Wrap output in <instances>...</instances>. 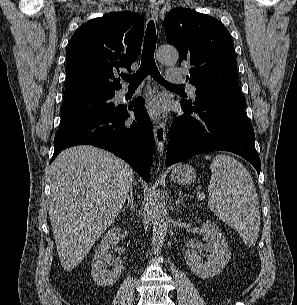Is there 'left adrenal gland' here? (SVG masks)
<instances>
[{
	"label": "left adrenal gland",
	"mask_w": 297,
	"mask_h": 305,
	"mask_svg": "<svg viewBox=\"0 0 297 305\" xmlns=\"http://www.w3.org/2000/svg\"><path fill=\"white\" fill-rule=\"evenodd\" d=\"M185 197H187V195L186 194L182 195L181 190H179L178 191V198H177V201H176V205H179L183 201V199Z\"/></svg>",
	"instance_id": "a2214340"
}]
</instances>
